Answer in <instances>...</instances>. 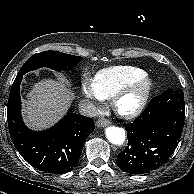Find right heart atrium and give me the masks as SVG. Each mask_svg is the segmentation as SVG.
I'll list each match as a JSON object with an SVG mask.
<instances>
[{"label": "right heart atrium", "instance_id": "right-heart-atrium-1", "mask_svg": "<svg viewBox=\"0 0 194 194\" xmlns=\"http://www.w3.org/2000/svg\"><path fill=\"white\" fill-rule=\"evenodd\" d=\"M80 91L83 97L90 102L92 107L97 106L101 101L93 82L88 77H83L80 82Z\"/></svg>", "mask_w": 194, "mask_h": 194}]
</instances>
